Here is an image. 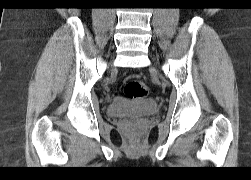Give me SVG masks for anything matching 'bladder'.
<instances>
[{"instance_id":"bladder-1","label":"bladder","mask_w":251,"mask_h":180,"mask_svg":"<svg viewBox=\"0 0 251 180\" xmlns=\"http://www.w3.org/2000/svg\"><path fill=\"white\" fill-rule=\"evenodd\" d=\"M158 103L154 99L129 100L115 97L108 104L107 114L111 117H142L156 114Z\"/></svg>"}]
</instances>
